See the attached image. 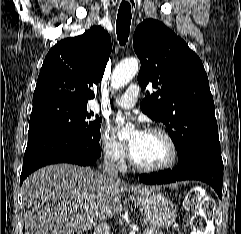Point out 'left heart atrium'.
Segmentation results:
<instances>
[{"instance_id": "39dd6f15", "label": "left heart atrium", "mask_w": 241, "mask_h": 234, "mask_svg": "<svg viewBox=\"0 0 241 234\" xmlns=\"http://www.w3.org/2000/svg\"><path fill=\"white\" fill-rule=\"evenodd\" d=\"M125 121H126V119L125 118H123V117H119V118H117V123H118V125H123L124 123H125ZM138 135H142L143 133H144V131L143 130H138L137 132H136Z\"/></svg>"}]
</instances>
